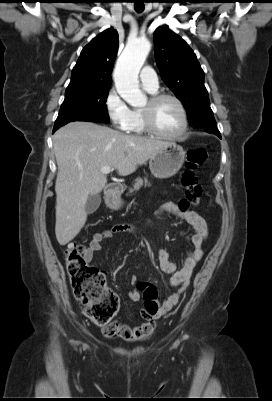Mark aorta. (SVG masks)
Here are the masks:
<instances>
[{
  "instance_id": "obj_1",
  "label": "aorta",
  "mask_w": 272,
  "mask_h": 401,
  "mask_svg": "<svg viewBox=\"0 0 272 401\" xmlns=\"http://www.w3.org/2000/svg\"><path fill=\"white\" fill-rule=\"evenodd\" d=\"M150 50L151 43L140 38L129 42L117 60L113 73L115 87L131 106H140L147 101L146 95L139 88L138 74Z\"/></svg>"
}]
</instances>
